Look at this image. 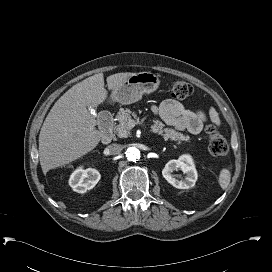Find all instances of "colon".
<instances>
[{"label":"colon","instance_id":"5ec220e1","mask_svg":"<svg viewBox=\"0 0 272 272\" xmlns=\"http://www.w3.org/2000/svg\"><path fill=\"white\" fill-rule=\"evenodd\" d=\"M169 93L175 99H185L192 94V86L183 81H176L169 84ZM206 133L209 139V151L213 156L223 157L228 153L229 147L227 140L221 135L218 128L210 124Z\"/></svg>","mask_w":272,"mask_h":272}]
</instances>
